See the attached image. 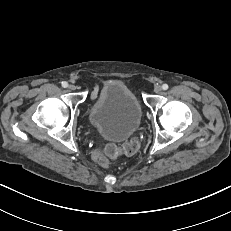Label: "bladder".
I'll use <instances>...</instances> for the list:
<instances>
[{"label": "bladder", "mask_w": 231, "mask_h": 231, "mask_svg": "<svg viewBox=\"0 0 231 231\" xmlns=\"http://www.w3.org/2000/svg\"><path fill=\"white\" fill-rule=\"evenodd\" d=\"M143 109L134 92L123 81H105L92 102L88 118L105 137L122 140L140 126Z\"/></svg>", "instance_id": "1"}]
</instances>
